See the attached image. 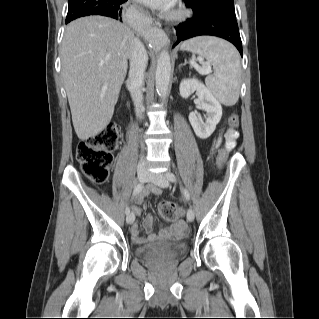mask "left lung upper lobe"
Returning <instances> with one entry per match:
<instances>
[{"mask_svg": "<svg viewBox=\"0 0 319 319\" xmlns=\"http://www.w3.org/2000/svg\"><path fill=\"white\" fill-rule=\"evenodd\" d=\"M194 14L214 13L236 19L233 0H184Z\"/></svg>", "mask_w": 319, "mask_h": 319, "instance_id": "left-lung-upper-lobe-1", "label": "left lung upper lobe"}]
</instances>
